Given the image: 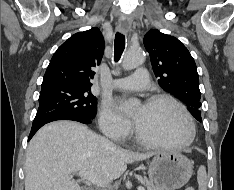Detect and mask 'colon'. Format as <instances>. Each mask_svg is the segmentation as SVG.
I'll use <instances>...</instances> for the list:
<instances>
[{"mask_svg":"<svg viewBox=\"0 0 234 190\" xmlns=\"http://www.w3.org/2000/svg\"><path fill=\"white\" fill-rule=\"evenodd\" d=\"M185 190H195V189L191 186H188Z\"/></svg>","mask_w":234,"mask_h":190,"instance_id":"obj_1","label":"colon"}]
</instances>
